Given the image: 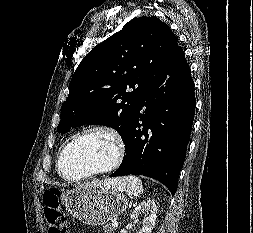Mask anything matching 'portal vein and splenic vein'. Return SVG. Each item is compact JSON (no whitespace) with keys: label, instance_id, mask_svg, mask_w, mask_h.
I'll use <instances>...</instances> for the list:
<instances>
[{"label":"portal vein and splenic vein","instance_id":"18ae733b","mask_svg":"<svg viewBox=\"0 0 253 233\" xmlns=\"http://www.w3.org/2000/svg\"><path fill=\"white\" fill-rule=\"evenodd\" d=\"M112 226H113V227H117V226H118V222H117V221H115V220H114V221H112Z\"/></svg>","mask_w":253,"mask_h":233}]
</instances>
